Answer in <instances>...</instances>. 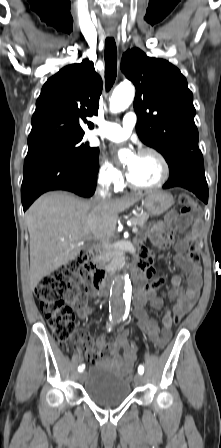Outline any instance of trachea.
Listing matches in <instances>:
<instances>
[{
    "label": "trachea",
    "mask_w": 221,
    "mask_h": 448,
    "mask_svg": "<svg viewBox=\"0 0 221 448\" xmlns=\"http://www.w3.org/2000/svg\"><path fill=\"white\" fill-rule=\"evenodd\" d=\"M105 85L108 92L113 86L117 75V48L113 38L105 41Z\"/></svg>",
    "instance_id": "3493384b"
}]
</instances>
